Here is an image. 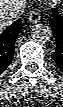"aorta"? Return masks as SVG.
Here are the masks:
<instances>
[{
	"instance_id": "aorta-1",
	"label": "aorta",
	"mask_w": 63,
	"mask_h": 107,
	"mask_svg": "<svg viewBox=\"0 0 63 107\" xmlns=\"http://www.w3.org/2000/svg\"><path fill=\"white\" fill-rule=\"evenodd\" d=\"M32 37L37 42H47L52 37V31L50 27L44 24H36L32 29Z\"/></svg>"
}]
</instances>
